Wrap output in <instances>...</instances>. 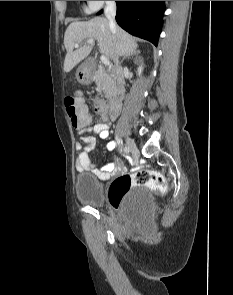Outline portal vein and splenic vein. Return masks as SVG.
<instances>
[{"instance_id":"obj_1","label":"portal vein and splenic vein","mask_w":233,"mask_h":295,"mask_svg":"<svg viewBox=\"0 0 233 295\" xmlns=\"http://www.w3.org/2000/svg\"><path fill=\"white\" fill-rule=\"evenodd\" d=\"M86 42L91 45L94 44V41L92 39H89ZM78 47H79V44H75V48H78ZM100 60L104 65H109V59L106 56L104 55L100 56Z\"/></svg>"}]
</instances>
